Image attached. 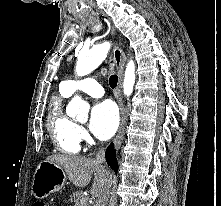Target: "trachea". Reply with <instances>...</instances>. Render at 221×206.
<instances>
[{
  "label": "trachea",
  "mask_w": 221,
  "mask_h": 206,
  "mask_svg": "<svg viewBox=\"0 0 221 206\" xmlns=\"http://www.w3.org/2000/svg\"><path fill=\"white\" fill-rule=\"evenodd\" d=\"M118 76L116 74H112L109 78V85L112 89L117 86Z\"/></svg>",
  "instance_id": "obj_1"
}]
</instances>
